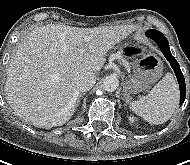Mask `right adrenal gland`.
Masks as SVG:
<instances>
[{
  "label": "right adrenal gland",
  "mask_w": 190,
  "mask_h": 165,
  "mask_svg": "<svg viewBox=\"0 0 190 165\" xmlns=\"http://www.w3.org/2000/svg\"><path fill=\"white\" fill-rule=\"evenodd\" d=\"M83 95H84V93H79V94H78L77 102H76V107L79 105L80 99H81V97H82Z\"/></svg>",
  "instance_id": "obj_1"
}]
</instances>
